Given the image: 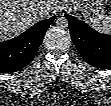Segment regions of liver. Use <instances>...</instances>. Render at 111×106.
Segmentation results:
<instances>
[{"instance_id": "6515ba94", "label": "liver", "mask_w": 111, "mask_h": 106, "mask_svg": "<svg viewBox=\"0 0 111 106\" xmlns=\"http://www.w3.org/2000/svg\"><path fill=\"white\" fill-rule=\"evenodd\" d=\"M55 2L50 0H1L0 39H11L37 21L48 17Z\"/></svg>"}]
</instances>
